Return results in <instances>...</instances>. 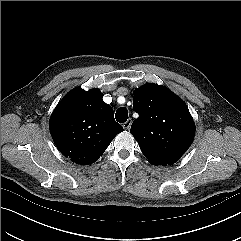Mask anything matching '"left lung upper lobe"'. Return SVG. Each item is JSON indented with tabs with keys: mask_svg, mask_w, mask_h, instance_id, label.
Here are the masks:
<instances>
[{
	"mask_svg": "<svg viewBox=\"0 0 241 241\" xmlns=\"http://www.w3.org/2000/svg\"><path fill=\"white\" fill-rule=\"evenodd\" d=\"M139 114L130 133L151 164L172 165L191 145L195 126L186 104L164 86L148 83L134 91Z\"/></svg>",
	"mask_w": 241,
	"mask_h": 241,
	"instance_id": "left-lung-upper-lobe-1",
	"label": "left lung upper lobe"
}]
</instances>
